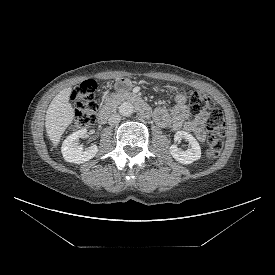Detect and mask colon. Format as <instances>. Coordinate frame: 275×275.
Returning a JSON list of instances; mask_svg holds the SVG:
<instances>
[{
  "label": "colon",
  "mask_w": 275,
  "mask_h": 275,
  "mask_svg": "<svg viewBox=\"0 0 275 275\" xmlns=\"http://www.w3.org/2000/svg\"><path fill=\"white\" fill-rule=\"evenodd\" d=\"M96 83L86 80L74 89L71 99L75 106L74 126L86 128L93 124L97 112L95 100ZM189 111L197 115L202 111L209 110L207 120V148L205 156L214 159L222 150L225 133V121L221 110L215 107L213 100L200 90L192 91L189 96Z\"/></svg>",
  "instance_id": "colon-1"
}]
</instances>
